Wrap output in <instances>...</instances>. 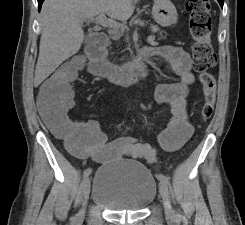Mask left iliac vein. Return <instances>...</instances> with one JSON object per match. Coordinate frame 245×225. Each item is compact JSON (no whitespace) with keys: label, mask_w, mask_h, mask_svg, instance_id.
Masks as SVG:
<instances>
[{"label":"left iliac vein","mask_w":245,"mask_h":225,"mask_svg":"<svg viewBox=\"0 0 245 225\" xmlns=\"http://www.w3.org/2000/svg\"><path fill=\"white\" fill-rule=\"evenodd\" d=\"M159 191L162 196L163 204L165 207V215L168 220H172L174 217V213L172 211L171 203H170V196L167 184L164 182H160L159 184Z\"/></svg>","instance_id":"left-iliac-vein-1"}]
</instances>
